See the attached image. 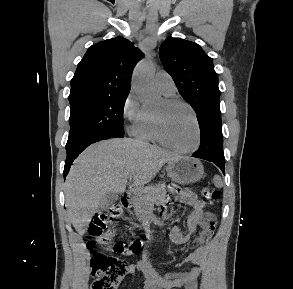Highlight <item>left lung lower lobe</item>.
<instances>
[{"mask_svg": "<svg viewBox=\"0 0 293 289\" xmlns=\"http://www.w3.org/2000/svg\"><path fill=\"white\" fill-rule=\"evenodd\" d=\"M201 143L193 157L215 163L225 174V158L223 153V135L221 123L210 122L200 126Z\"/></svg>", "mask_w": 293, "mask_h": 289, "instance_id": "1", "label": "left lung lower lobe"}]
</instances>
